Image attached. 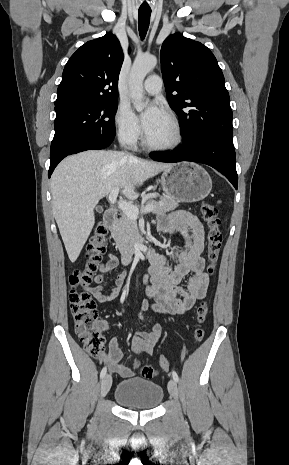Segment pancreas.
I'll return each instance as SVG.
<instances>
[{"mask_svg":"<svg viewBox=\"0 0 289 465\" xmlns=\"http://www.w3.org/2000/svg\"><path fill=\"white\" fill-rule=\"evenodd\" d=\"M156 196H158L156 193H149L143 196L144 199L147 200V205L153 204L155 206L152 211L154 214H163L178 207V202L176 200L170 197L160 196V201L156 202L153 200ZM112 237L120 252L132 251L134 244L140 242L142 239L138 230L137 221L130 219L124 213L116 222L112 230Z\"/></svg>","mask_w":289,"mask_h":465,"instance_id":"obj_1","label":"pancreas"}]
</instances>
